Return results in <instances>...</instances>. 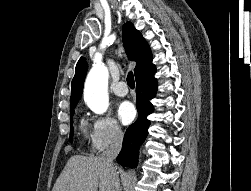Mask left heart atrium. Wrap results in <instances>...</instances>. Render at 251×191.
<instances>
[{"mask_svg":"<svg viewBox=\"0 0 251 191\" xmlns=\"http://www.w3.org/2000/svg\"><path fill=\"white\" fill-rule=\"evenodd\" d=\"M118 118L123 124L130 123L135 117V108L131 102L124 101L118 106Z\"/></svg>","mask_w":251,"mask_h":191,"instance_id":"39dd6f15","label":"left heart atrium"}]
</instances>
